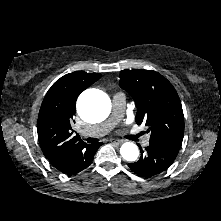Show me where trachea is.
<instances>
[{"label": "trachea", "mask_w": 221, "mask_h": 221, "mask_svg": "<svg viewBox=\"0 0 221 221\" xmlns=\"http://www.w3.org/2000/svg\"><path fill=\"white\" fill-rule=\"evenodd\" d=\"M86 141H87L88 143H95V142L98 141V139H96V138H87Z\"/></svg>", "instance_id": "1"}]
</instances>
